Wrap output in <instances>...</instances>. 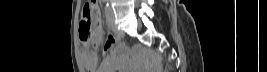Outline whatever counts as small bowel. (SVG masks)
Masks as SVG:
<instances>
[{
  "label": "small bowel",
  "mask_w": 267,
  "mask_h": 72,
  "mask_svg": "<svg viewBox=\"0 0 267 72\" xmlns=\"http://www.w3.org/2000/svg\"><path fill=\"white\" fill-rule=\"evenodd\" d=\"M117 43V37L110 35L103 46V53L106 55ZM82 60L86 69L90 72H109V65L112 62L110 56H106L103 61L101 69H97V53L95 51L87 50L82 53Z\"/></svg>",
  "instance_id": "small-bowel-1"
}]
</instances>
